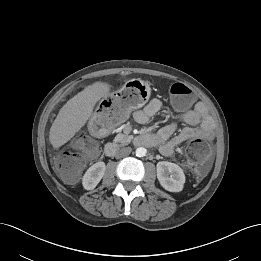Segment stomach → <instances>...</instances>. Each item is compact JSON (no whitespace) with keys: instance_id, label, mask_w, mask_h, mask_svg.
Here are the masks:
<instances>
[{"instance_id":"0dacf381","label":"stomach","mask_w":261,"mask_h":261,"mask_svg":"<svg viewBox=\"0 0 261 261\" xmlns=\"http://www.w3.org/2000/svg\"><path fill=\"white\" fill-rule=\"evenodd\" d=\"M150 87L148 83L140 79L127 81L122 89L117 92L116 97L123 103L127 115L133 110L142 107L150 97ZM114 125H105L101 118L94 113L91 117L88 128L95 136L109 133Z\"/></svg>"}]
</instances>
